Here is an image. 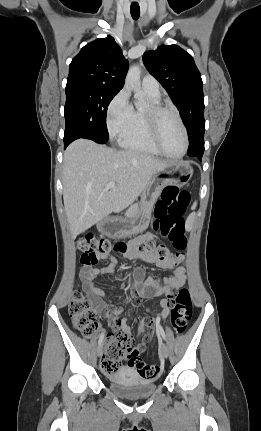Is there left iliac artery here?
Returning <instances> with one entry per match:
<instances>
[{
	"label": "left iliac artery",
	"mask_w": 261,
	"mask_h": 431,
	"mask_svg": "<svg viewBox=\"0 0 261 431\" xmlns=\"http://www.w3.org/2000/svg\"><path fill=\"white\" fill-rule=\"evenodd\" d=\"M156 327H157V331L161 334V336L165 340L166 339L165 332H164L162 326L160 325V320L159 319L156 320Z\"/></svg>",
	"instance_id": "44dca946"
}]
</instances>
